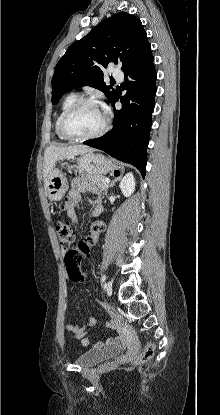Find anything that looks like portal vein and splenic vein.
Returning <instances> with one entry per match:
<instances>
[{"label":"portal vein and splenic vein","mask_w":220,"mask_h":415,"mask_svg":"<svg viewBox=\"0 0 220 415\" xmlns=\"http://www.w3.org/2000/svg\"><path fill=\"white\" fill-rule=\"evenodd\" d=\"M104 182L108 184V183H110V179H109V178H106V179L104 180Z\"/></svg>","instance_id":"1"}]
</instances>
